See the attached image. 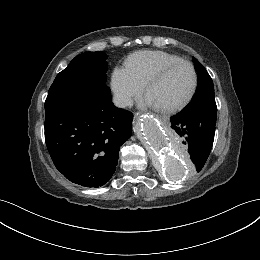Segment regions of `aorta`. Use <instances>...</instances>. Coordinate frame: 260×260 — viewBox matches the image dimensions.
I'll return each instance as SVG.
<instances>
[{"label": "aorta", "mask_w": 260, "mask_h": 260, "mask_svg": "<svg viewBox=\"0 0 260 260\" xmlns=\"http://www.w3.org/2000/svg\"><path fill=\"white\" fill-rule=\"evenodd\" d=\"M134 131L167 179L176 181L188 175L189 166L176 135L156 118L150 115L142 117L135 124Z\"/></svg>", "instance_id": "obj_1"}]
</instances>
